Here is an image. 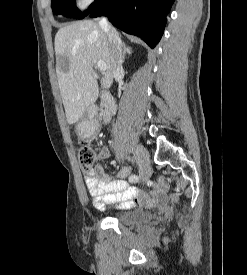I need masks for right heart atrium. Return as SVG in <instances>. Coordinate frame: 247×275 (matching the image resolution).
<instances>
[{
	"instance_id": "d8ad5b80",
	"label": "right heart atrium",
	"mask_w": 247,
	"mask_h": 275,
	"mask_svg": "<svg viewBox=\"0 0 247 275\" xmlns=\"http://www.w3.org/2000/svg\"><path fill=\"white\" fill-rule=\"evenodd\" d=\"M94 0H76L75 4L79 9H85L90 6Z\"/></svg>"
}]
</instances>
